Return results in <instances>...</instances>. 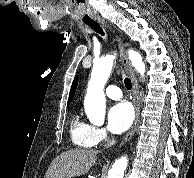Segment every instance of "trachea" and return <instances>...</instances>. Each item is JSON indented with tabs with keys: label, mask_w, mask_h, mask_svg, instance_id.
Segmentation results:
<instances>
[{
	"label": "trachea",
	"mask_w": 194,
	"mask_h": 178,
	"mask_svg": "<svg viewBox=\"0 0 194 178\" xmlns=\"http://www.w3.org/2000/svg\"><path fill=\"white\" fill-rule=\"evenodd\" d=\"M88 26L91 29H93L95 32H97V33L101 34L102 36H104V31L98 23H88ZM124 83H125L126 88L128 90H131V88H132L131 80L129 78L125 77Z\"/></svg>",
	"instance_id": "trachea-1"
}]
</instances>
